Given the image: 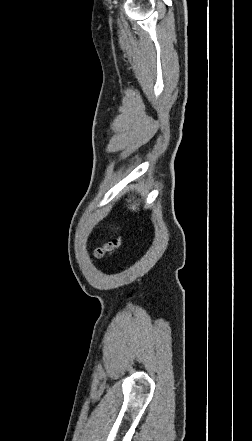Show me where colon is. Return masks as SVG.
<instances>
[{
  "instance_id": "5ec220e1",
  "label": "colon",
  "mask_w": 252,
  "mask_h": 441,
  "mask_svg": "<svg viewBox=\"0 0 252 441\" xmlns=\"http://www.w3.org/2000/svg\"><path fill=\"white\" fill-rule=\"evenodd\" d=\"M123 241L120 237L113 238L111 241L104 243L96 248L94 255L96 258H102L107 254H111L114 251L121 248Z\"/></svg>"
}]
</instances>
